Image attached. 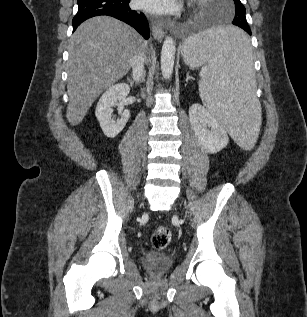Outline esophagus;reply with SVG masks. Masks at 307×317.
<instances>
[{"label":"esophagus","instance_id":"obj_1","mask_svg":"<svg viewBox=\"0 0 307 317\" xmlns=\"http://www.w3.org/2000/svg\"><path fill=\"white\" fill-rule=\"evenodd\" d=\"M152 35H153L154 39L159 41V42H161L165 36L164 30L155 21H152Z\"/></svg>","mask_w":307,"mask_h":317}]
</instances>
